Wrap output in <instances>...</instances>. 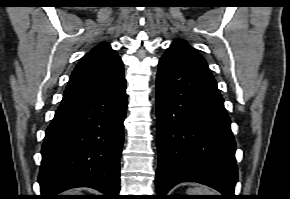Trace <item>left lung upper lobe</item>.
Listing matches in <instances>:
<instances>
[{
    "mask_svg": "<svg viewBox=\"0 0 290 199\" xmlns=\"http://www.w3.org/2000/svg\"><path fill=\"white\" fill-rule=\"evenodd\" d=\"M168 50L177 52L183 55L185 58L192 60L196 64L208 68L205 59L198 52H196L190 45H188L186 41L175 40L168 48Z\"/></svg>",
    "mask_w": 290,
    "mask_h": 199,
    "instance_id": "obj_1",
    "label": "left lung upper lobe"
}]
</instances>
